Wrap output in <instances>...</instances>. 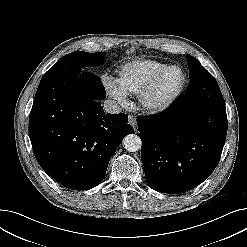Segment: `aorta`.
I'll return each mask as SVG.
<instances>
[{
  "mask_svg": "<svg viewBox=\"0 0 247 247\" xmlns=\"http://www.w3.org/2000/svg\"><path fill=\"white\" fill-rule=\"evenodd\" d=\"M124 148L129 152H136L141 149L142 141L138 135L128 134L123 139Z\"/></svg>",
  "mask_w": 247,
  "mask_h": 247,
  "instance_id": "1",
  "label": "aorta"
}]
</instances>
